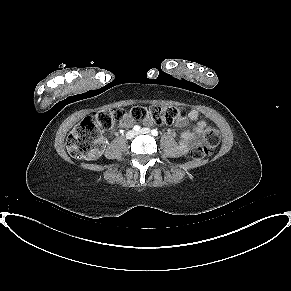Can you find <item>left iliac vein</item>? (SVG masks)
Returning <instances> with one entry per match:
<instances>
[{"mask_svg": "<svg viewBox=\"0 0 291 291\" xmlns=\"http://www.w3.org/2000/svg\"><path fill=\"white\" fill-rule=\"evenodd\" d=\"M148 133H150V129L143 128L139 132H137L136 134H148Z\"/></svg>", "mask_w": 291, "mask_h": 291, "instance_id": "left-iliac-vein-1", "label": "left iliac vein"}]
</instances>
